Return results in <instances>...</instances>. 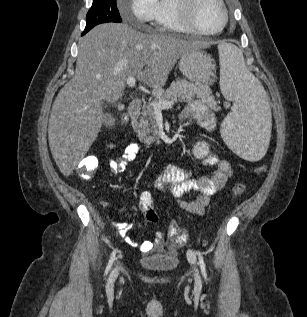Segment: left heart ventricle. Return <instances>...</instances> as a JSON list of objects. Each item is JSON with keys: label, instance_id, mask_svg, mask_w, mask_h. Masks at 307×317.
<instances>
[{"label": "left heart ventricle", "instance_id": "obj_1", "mask_svg": "<svg viewBox=\"0 0 307 317\" xmlns=\"http://www.w3.org/2000/svg\"><path fill=\"white\" fill-rule=\"evenodd\" d=\"M222 10L216 0H199L194 9L197 26L205 31H213L221 26Z\"/></svg>", "mask_w": 307, "mask_h": 317}]
</instances>
